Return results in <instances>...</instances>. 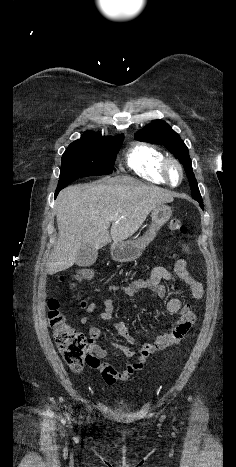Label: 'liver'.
<instances>
[{
    "label": "liver",
    "mask_w": 236,
    "mask_h": 467,
    "mask_svg": "<svg viewBox=\"0 0 236 467\" xmlns=\"http://www.w3.org/2000/svg\"><path fill=\"white\" fill-rule=\"evenodd\" d=\"M173 200L171 192L129 177L65 188L56 200L59 237L48 259L47 273L72 267L85 244L98 250L111 240L124 241L141 227L151 210Z\"/></svg>",
    "instance_id": "obj_1"
}]
</instances>
